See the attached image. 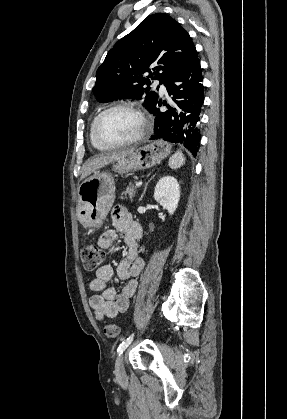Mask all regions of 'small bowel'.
<instances>
[{
  "instance_id": "small-bowel-1",
  "label": "small bowel",
  "mask_w": 287,
  "mask_h": 419,
  "mask_svg": "<svg viewBox=\"0 0 287 419\" xmlns=\"http://www.w3.org/2000/svg\"><path fill=\"white\" fill-rule=\"evenodd\" d=\"M112 224L124 235L127 252L118 264L116 273L120 279L127 280V284L117 293L114 288L106 286L112 277L111 266L105 265L96 271L95 277L91 280L90 289L100 294L90 298V306L96 318L101 321L105 318H115L128 309L130 299L137 289V277L144 268V260L141 257L143 248L139 245L141 229L139 224L132 219L129 210L124 207L114 208ZM116 239V231L109 229L100 235L98 245L109 249L115 244Z\"/></svg>"
}]
</instances>
